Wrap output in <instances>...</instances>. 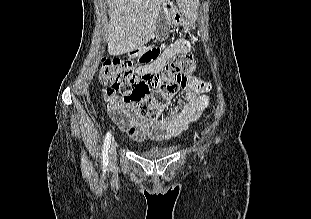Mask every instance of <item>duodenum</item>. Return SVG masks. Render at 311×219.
I'll return each instance as SVG.
<instances>
[{"instance_id":"410a0bca","label":"duodenum","mask_w":311,"mask_h":219,"mask_svg":"<svg viewBox=\"0 0 311 219\" xmlns=\"http://www.w3.org/2000/svg\"><path fill=\"white\" fill-rule=\"evenodd\" d=\"M164 11L167 14L171 13L173 11V6L171 4H169V3H166L164 5Z\"/></svg>"}]
</instances>
